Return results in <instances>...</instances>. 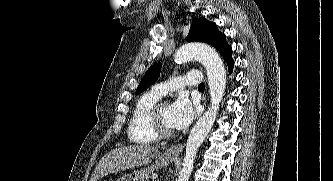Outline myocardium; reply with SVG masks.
<instances>
[{"instance_id": "f54148a6", "label": "myocardium", "mask_w": 333, "mask_h": 181, "mask_svg": "<svg viewBox=\"0 0 333 181\" xmlns=\"http://www.w3.org/2000/svg\"><path fill=\"white\" fill-rule=\"evenodd\" d=\"M168 100H159L157 103L154 104V106L151 108L149 115H148V121L151 130L158 136L162 138H168L175 134V131L173 129L166 128L162 121H161V111L165 105H168Z\"/></svg>"}]
</instances>
